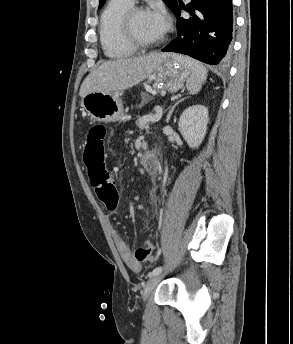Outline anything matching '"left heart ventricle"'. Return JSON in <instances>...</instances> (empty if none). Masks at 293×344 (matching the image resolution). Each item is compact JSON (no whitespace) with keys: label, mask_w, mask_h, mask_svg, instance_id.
<instances>
[{"label":"left heart ventricle","mask_w":293,"mask_h":344,"mask_svg":"<svg viewBox=\"0 0 293 344\" xmlns=\"http://www.w3.org/2000/svg\"><path fill=\"white\" fill-rule=\"evenodd\" d=\"M132 28L134 34L144 41H157L162 37V34L152 23L149 12H142L135 16Z\"/></svg>","instance_id":"obj_1"}]
</instances>
